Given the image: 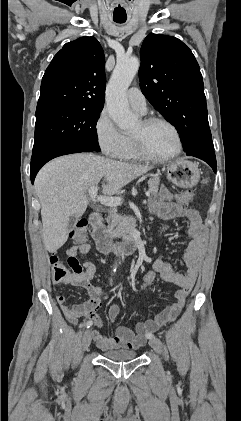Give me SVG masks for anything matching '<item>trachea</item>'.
Wrapping results in <instances>:
<instances>
[{"instance_id": "3493384b", "label": "trachea", "mask_w": 241, "mask_h": 421, "mask_svg": "<svg viewBox=\"0 0 241 421\" xmlns=\"http://www.w3.org/2000/svg\"><path fill=\"white\" fill-rule=\"evenodd\" d=\"M114 21H115L116 23H120V24H122V23H124V22L126 21V19H114Z\"/></svg>"}]
</instances>
